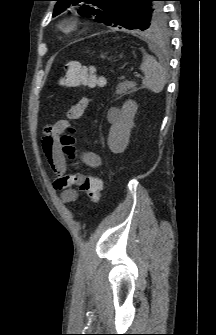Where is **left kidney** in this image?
Instances as JSON below:
<instances>
[{
    "mask_svg": "<svg viewBox=\"0 0 216 335\" xmlns=\"http://www.w3.org/2000/svg\"><path fill=\"white\" fill-rule=\"evenodd\" d=\"M137 109L138 105L133 100H128L123 104L118 120L112 124L109 131L107 143L112 153H123L128 146Z\"/></svg>",
    "mask_w": 216,
    "mask_h": 335,
    "instance_id": "obj_1",
    "label": "left kidney"
}]
</instances>
